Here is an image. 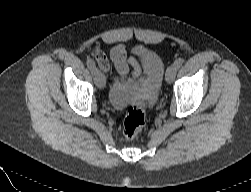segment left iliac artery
Returning a JSON list of instances; mask_svg holds the SVG:
<instances>
[{"label":"left iliac artery","instance_id":"left-iliac-artery-1","mask_svg":"<svg viewBox=\"0 0 251 192\" xmlns=\"http://www.w3.org/2000/svg\"><path fill=\"white\" fill-rule=\"evenodd\" d=\"M184 60L182 58H178L175 62H174V65L177 67V68H180L183 64Z\"/></svg>","mask_w":251,"mask_h":192}]
</instances>
